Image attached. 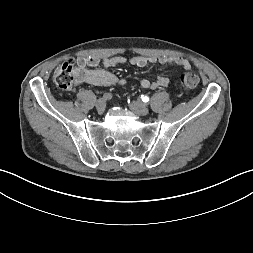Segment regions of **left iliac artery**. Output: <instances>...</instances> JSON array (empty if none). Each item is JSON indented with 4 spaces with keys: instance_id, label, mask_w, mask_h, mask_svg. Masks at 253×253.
Returning <instances> with one entry per match:
<instances>
[{
    "instance_id": "obj_1",
    "label": "left iliac artery",
    "mask_w": 253,
    "mask_h": 253,
    "mask_svg": "<svg viewBox=\"0 0 253 253\" xmlns=\"http://www.w3.org/2000/svg\"><path fill=\"white\" fill-rule=\"evenodd\" d=\"M142 101L146 103L149 101V98L147 96H144V97H142Z\"/></svg>"
}]
</instances>
